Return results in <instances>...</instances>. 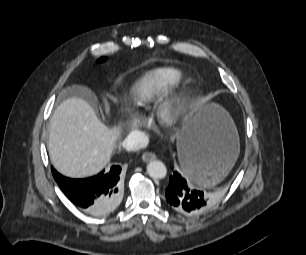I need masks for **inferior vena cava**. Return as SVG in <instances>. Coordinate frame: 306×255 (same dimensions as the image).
Wrapping results in <instances>:
<instances>
[{
    "label": "inferior vena cava",
    "instance_id": "1",
    "mask_svg": "<svg viewBox=\"0 0 306 255\" xmlns=\"http://www.w3.org/2000/svg\"><path fill=\"white\" fill-rule=\"evenodd\" d=\"M148 137L141 131L131 132L124 141V147L128 151H137L148 145Z\"/></svg>",
    "mask_w": 306,
    "mask_h": 255
}]
</instances>
